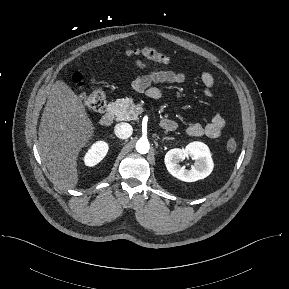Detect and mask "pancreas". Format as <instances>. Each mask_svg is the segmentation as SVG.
<instances>
[{"label": "pancreas", "mask_w": 289, "mask_h": 289, "mask_svg": "<svg viewBox=\"0 0 289 289\" xmlns=\"http://www.w3.org/2000/svg\"><path fill=\"white\" fill-rule=\"evenodd\" d=\"M136 105L129 98L118 99L111 103V113L116 116L117 121L137 120L138 114L135 111Z\"/></svg>", "instance_id": "pancreas-1"}]
</instances>
